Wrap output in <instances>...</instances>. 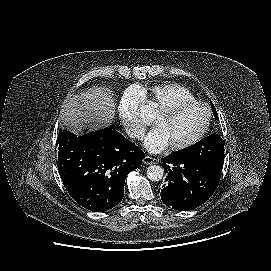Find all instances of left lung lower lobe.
I'll return each mask as SVG.
<instances>
[{"label":"left lung lower lobe","instance_id":"1","mask_svg":"<svg viewBox=\"0 0 271 271\" xmlns=\"http://www.w3.org/2000/svg\"><path fill=\"white\" fill-rule=\"evenodd\" d=\"M167 173L165 184L159 188L163 203L175 210L187 211L206 202L216 190L221 174L203 164L180 158L174 153L163 158Z\"/></svg>","mask_w":271,"mask_h":271}]
</instances>
